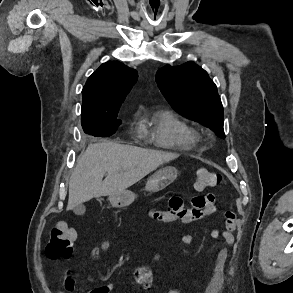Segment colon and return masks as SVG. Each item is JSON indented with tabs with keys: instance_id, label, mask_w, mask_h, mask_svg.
Listing matches in <instances>:
<instances>
[{
	"instance_id": "colon-1",
	"label": "colon",
	"mask_w": 293,
	"mask_h": 293,
	"mask_svg": "<svg viewBox=\"0 0 293 293\" xmlns=\"http://www.w3.org/2000/svg\"><path fill=\"white\" fill-rule=\"evenodd\" d=\"M222 182V175L216 171L199 169L194 176V188L202 191L217 187ZM226 230L235 229L237 218L234 212L226 213ZM76 237L75 230L64 223H58L53 228L49 242L46 245V255L51 259L69 258L73 252V243Z\"/></svg>"
}]
</instances>
